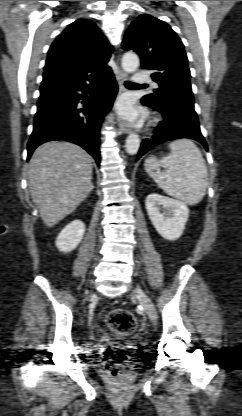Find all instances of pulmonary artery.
I'll return each mask as SVG.
<instances>
[{"instance_id": "e3ab8cb5", "label": "pulmonary artery", "mask_w": 242, "mask_h": 416, "mask_svg": "<svg viewBox=\"0 0 242 416\" xmlns=\"http://www.w3.org/2000/svg\"><path fill=\"white\" fill-rule=\"evenodd\" d=\"M133 81L135 83H146L149 82V76L142 70H138L135 72L134 77H133Z\"/></svg>"}]
</instances>
